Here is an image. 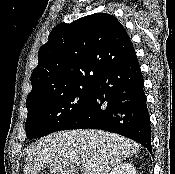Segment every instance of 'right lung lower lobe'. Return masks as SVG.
Returning a JSON list of instances; mask_svg holds the SVG:
<instances>
[{"mask_svg":"<svg viewBox=\"0 0 175 174\" xmlns=\"http://www.w3.org/2000/svg\"><path fill=\"white\" fill-rule=\"evenodd\" d=\"M143 85L134 54L100 77L85 110L63 130H105L128 137L152 152L150 116Z\"/></svg>","mask_w":175,"mask_h":174,"instance_id":"obj_1","label":"right lung lower lobe"}]
</instances>
